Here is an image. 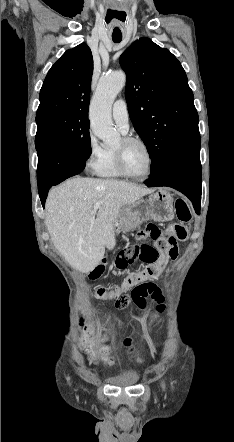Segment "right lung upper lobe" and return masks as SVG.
I'll use <instances>...</instances> for the list:
<instances>
[{
	"mask_svg": "<svg viewBox=\"0 0 234 442\" xmlns=\"http://www.w3.org/2000/svg\"><path fill=\"white\" fill-rule=\"evenodd\" d=\"M93 57L82 43L67 50L49 70L40 90L37 116L52 113H88Z\"/></svg>",
	"mask_w": 234,
	"mask_h": 442,
	"instance_id": "cb5924a9",
	"label": "right lung upper lobe"
}]
</instances>
